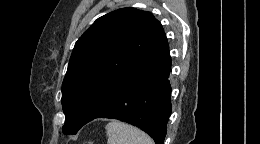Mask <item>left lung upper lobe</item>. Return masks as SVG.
I'll return each mask as SVG.
<instances>
[{"instance_id":"5c2ea615","label":"left lung upper lobe","mask_w":260,"mask_h":144,"mask_svg":"<svg viewBox=\"0 0 260 144\" xmlns=\"http://www.w3.org/2000/svg\"><path fill=\"white\" fill-rule=\"evenodd\" d=\"M166 47L162 25L150 12L122 8L98 18L75 43L62 83L64 134L92 121L124 78ZM157 65L168 79L171 61Z\"/></svg>"}]
</instances>
